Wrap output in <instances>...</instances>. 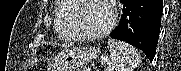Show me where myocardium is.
<instances>
[{
	"label": "myocardium",
	"instance_id": "1",
	"mask_svg": "<svg viewBox=\"0 0 181 71\" xmlns=\"http://www.w3.org/2000/svg\"><path fill=\"white\" fill-rule=\"evenodd\" d=\"M70 2L73 5V10L70 15V26L73 29V33L76 39L81 40H98L109 35L117 25L118 15L115 7L108 0H100L109 10L110 12V22L109 24L101 31L95 33H87L81 31L77 25V18L81 11V2L80 0H64Z\"/></svg>",
	"mask_w": 181,
	"mask_h": 71
}]
</instances>
